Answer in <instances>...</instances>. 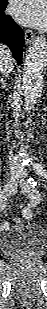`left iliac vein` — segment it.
<instances>
[{
  "label": "left iliac vein",
  "mask_w": 47,
  "mask_h": 309,
  "mask_svg": "<svg viewBox=\"0 0 47 309\" xmlns=\"http://www.w3.org/2000/svg\"><path fill=\"white\" fill-rule=\"evenodd\" d=\"M22 192L30 199L29 209L35 208L40 203L41 194L37 188L24 184Z\"/></svg>",
  "instance_id": "1"
}]
</instances>
